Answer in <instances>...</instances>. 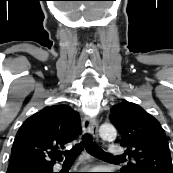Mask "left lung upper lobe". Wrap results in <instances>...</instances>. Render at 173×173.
I'll list each match as a JSON object with an SVG mask.
<instances>
[{"instance_id":"5c2ea615","label":"left lung upper lobe","mask_w":173,"mask_h":173,"mask_svg":"<svg viewBox=\"0 0 173 173\" xmlns=\"http://www.w3.org/2000/svg\"><path fill=\"white\" fill-rule=\"evenodd\" d=\"M110 121L131 158L120 173H173L167 137L157 119L139 105L123 101L112 107Z\"/></svg>"}]
</instances>
